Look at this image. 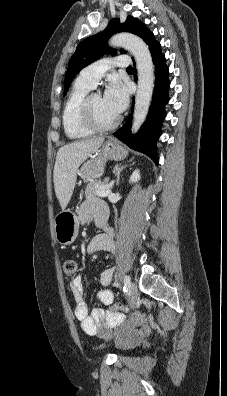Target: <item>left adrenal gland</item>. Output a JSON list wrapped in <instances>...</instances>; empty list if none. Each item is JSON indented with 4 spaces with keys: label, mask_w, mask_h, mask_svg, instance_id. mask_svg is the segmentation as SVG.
<instances>
[{
    "label": "left adrenal gland",
    "mask_w": 227,
    "mask_h": 396,
    "mask_svg": "<svg viewBox=\"0 0 227 396\" xmlns=\"http://www.w3.org/2000/svg\"><path fill=\"white\" fill-rule=\"evenodd\" d=\"M125 167H127V165H123V166H121V165H116V166H115L114 172H115V174H116V185H119L120 173H121V171H122Z\"/></svg>",
    "instance_id": "left-adrenal-gland-1"
}]
</instances>
